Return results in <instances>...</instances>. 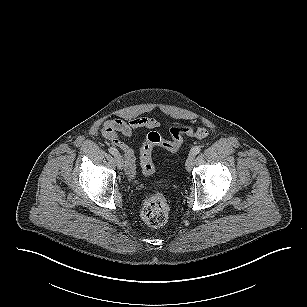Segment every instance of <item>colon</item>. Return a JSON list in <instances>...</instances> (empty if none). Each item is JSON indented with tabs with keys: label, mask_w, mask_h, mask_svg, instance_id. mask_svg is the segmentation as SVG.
I'll list each match as a JSON object with an SVG mask.
<instances>
[{
	"label": "colon",
	"mask_w": 307,
	"mask_h": 307,
	"mask_svg": "<svg viewBox=\"0 0 307 307\" xmlns=\"http://www.w3.org/2000/svg\"><path fill=\"white\" fill-rule=\"evenodd\" d=\"M170 138L165 139L157 132H150L140 150V161L143 173L152 175L155 167L152 152L155 147H161L171 153L179 151L186 136L205 138L208 130L199 127L193 130L187 125H174L170 128ZM141 218L145 223L153 227L164 225L170 215V206L167 199L160 193H152L145 196L140 208Z\"/></svg>",
	"instance_id": "colon-1"
}]
</instances>
